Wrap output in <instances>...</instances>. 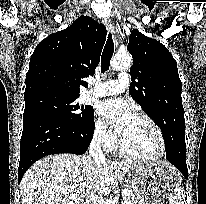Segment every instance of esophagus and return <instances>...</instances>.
<instances>
[{
  "instance_id": "1",
  "label": "esophagus",
  "mask_w": 206,
  "mask_h": 204,
  "mask_svg": "<svg viewBox=\"0 0 206 204\" xmlns=\"http://www.w3.org/2000/svg\"><path fill=\"white\" fill-rule=\"evenodd\" d=\"M103 23L109 31H111V32L114 31V25L109 17H105L103 19ZM114 41H116L115 38H114Z\"/></svg>"
}]
</instances>
